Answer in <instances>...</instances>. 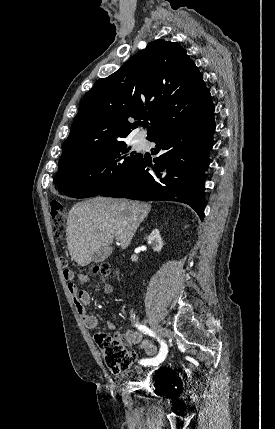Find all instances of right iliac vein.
I'll return each instance as SVG.
<instances>
[{"label":"right iliac vein","mask_w":275,"mask_h":429,"mask_svg":"<svg viewBox=\"0 0 275 429\" xmlns=\"http://www.w3.org/2000/svg\"><path fill=\"white\" fill-rule=\"evenodd\" d=\"M154 329H155V332L157 334V338L164 337L167 334L166 329L160 325H154Z\"/></svg>","instance_id":"1"}]
</instances>
